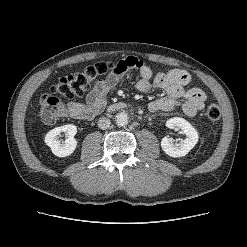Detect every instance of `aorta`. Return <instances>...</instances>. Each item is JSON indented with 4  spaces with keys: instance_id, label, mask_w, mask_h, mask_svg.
<instances>
[{
    "instance_id": "aorta-1",
    "label": "aorta",
    "mask_w": 247,
    "mask_h": 247,
    "mask_svg": "<svg viewBox=\"0 0 247 247\" xmlns=\"http://www.w3.org/2000/svg\"><path fill=\"white\" fill-rule=\"evenodd\" d=\"M115 121L117 125L125 126L128 124V115L125 112L118 113Z\"/></svg>"
}]
</instances>
